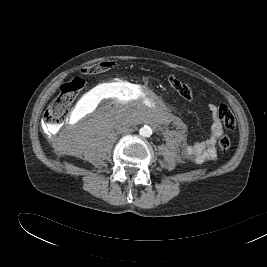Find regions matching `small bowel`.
<instances>
[{
  "label": "small bowel",
  "instance_id": "obj_1",
  "mask_svg": "<svg viewBox=\"0 0 267 267\" xmlns=\"http://www.w3.org/2000/svg\"><path fill=\"white\" fill-rule=\"evenodd\" d=\"M208 110L211 115V131L207 140L193 144H183L182 154L198 164L216 159V142L224 131L223 122L219 116V106L209 104Z\"/></svg>",
  "mask_w": 267,
  "mask_h": 267
}]
</instances>
